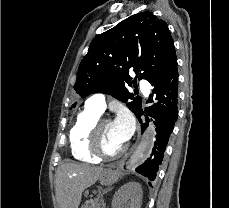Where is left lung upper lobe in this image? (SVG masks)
<instances>
[{
    "instance_id": "obj_1",
    "label": "left lung upper lobe",
    "mask_w": 229,
    "mask_h": 208,
    "mask_svg": "<svg viewBox=\"0 0 229 208\" xmlns=\"http://www.w3.org/2000/svg\"><path fill=\"white\" fill-rule=\"evenodd\" d=\"M175 62L167 24L151 12H140L92 40L79 65L74 90L81 97L102 92L124 103L132 99L127 106L135 114L142 106L141 99L129 93L126 85L136 86L137 77L155 85L169 74ZM130 69L137 74L133 82L128 75Z\"/></svg>"
}]
</instances>
